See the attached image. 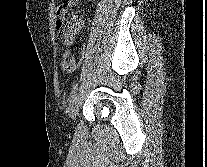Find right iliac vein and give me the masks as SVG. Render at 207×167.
Listing matches in <instances>:
<instances>
[{
    "label": "right iliac vein",
    "instance_id": "right-iliac-vein-1",
    "mask_svg": "<svg viewBox=\"0 0 207 167\" xmlns=\"http://www.w3.org/2000/svg\"><path fill=\"white\" fill-rule=\"evenodd\" d=\"M79 106V96H75V98L70 102L69 106V117L71 120H74L77 114Z\"/></svg>",
    "mask_w": 207,
    "mask_h": 167
}]
</instances>
